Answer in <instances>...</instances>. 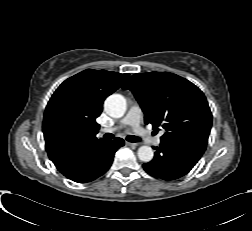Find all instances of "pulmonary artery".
I'll use <instances>...</instances> for the list:
<instances>
[{
  "instance_id": "e3ab8cb5",
  "label": "pulmonary artery",
  "mask_w": 252,
  "mask_h": 231,
  "mask_svg": "<svg viewBox=\"0 0 252 231\" xmlns=\"http://www.w3.org/2000/svg\"><path fill=\"white\" fill-rule=\"evenodd\" d=\"M142 120V110L138 105H132L126 115L120 120L117 126H114L109 129H102L104 132H112L119 128L130 126L132 127L133 131L137 133L139 137L143 140L150 142L154 145H159L161 143L160 135L153 136L151 135L146 129L141 126Z\"/></svg>"
}]
</instances>
